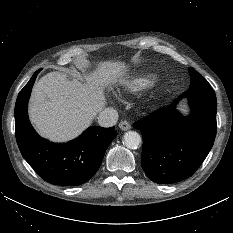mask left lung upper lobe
<instances>
[{
  "label": "left lung upper lobe",
  "instance_id": "5c2ea615",
  "mask_svg": "<svg viewBox=\"0 0 233 233\" xmlns=\"http://www.w3.org/2000/svg\"><path fill=\"white\" fill-rule=\"evenodd\" d=\"M189 74L191 78L190 88L208 87L210 84L193 68H189Z\"/></svg>",
  "mask_w": 233,
  "mask_h": 233
}]
</instances>
